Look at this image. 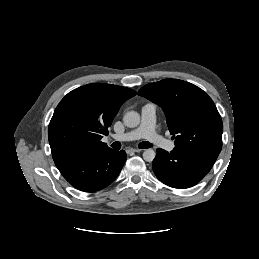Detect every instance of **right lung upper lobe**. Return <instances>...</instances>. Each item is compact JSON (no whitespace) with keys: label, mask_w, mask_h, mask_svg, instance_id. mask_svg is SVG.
Returning a JSON list of instances; mask_svg holds the SVG:
<instances>
[{"label":"right lung upper lobe","mask_w":259,"mask_h":259,"mask_svg":"<svg viewBox=\"0 0 259 259\" xmlns=\"http://www.w3.org/2000/svg\"><path fill=\"white\" fill-rule=\"evenodd\" d=\"M135 95L132 89L102 83L69 92L56 107L48 128L54 162L109 150L101 139L121 105Z\"/></svg>","instance_id":"right-lung-upper-lobe-1"}]
</instances>
